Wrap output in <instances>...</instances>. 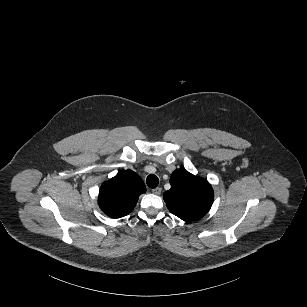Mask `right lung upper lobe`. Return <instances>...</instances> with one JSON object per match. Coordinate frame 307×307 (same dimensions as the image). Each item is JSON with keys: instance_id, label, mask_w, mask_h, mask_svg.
Masks as SVG:
<instances>
[{"instance_id": "1", "label": "right lung upper lobe", "mask_w": 307, "mask_h": 307, "mask_svg": "<svg viewBox=\"0 0 307 307\" xmlns=\"http://www.w3.org/2000/svg\"><path fill=\"white\" fill-rule=\"evenodd\" d=\"M145 191L140 176L132 170H124L102 184L98 204L106 215L120 218L132 212L138 197Z\"/></svg>"}]
</instances>
